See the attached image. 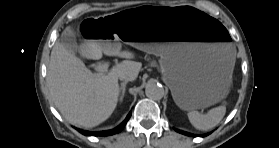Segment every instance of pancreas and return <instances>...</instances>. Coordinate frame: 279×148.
<instances>
[{"instance_id":"obj_1","label":"pancreas","mask_w":279,"mask_h":148,"mask_svg":"<svg viewBox=\"0 0 279 148\" xmlns=\"http://www.w3.org/2000/svg\"><path fill=\"white\" fill-rule=\"evenodd\" d=\"M151 65H155V62H152Z\"/></svg>"}]
</instances>
